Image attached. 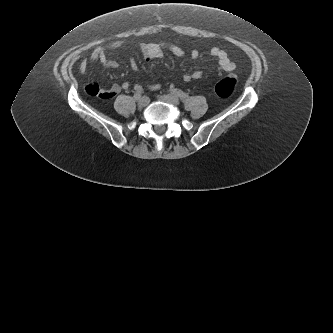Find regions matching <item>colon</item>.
<instances>
[{
  "label": "colon",
  "mask_w": 333,
  "mask_h": 333,
  "mask_svg": "<svg viewBox=\"0 0 333 333\" xmlns=\"http://www.w3.org/2000/svg\"><path fill=\"white\" fill-rule=\"evenodd\" d=\"M237 79L234 76H228L219 80L215 85V92L221 98H229L235 91Z\"/></svg>",
  "instance_id": "1"
}]
</instances>
